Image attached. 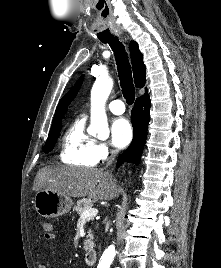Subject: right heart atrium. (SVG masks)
<instances>
[{"label": "right heart atrium", "instance_id": "1", "mask_svg": "<svg viewBox=\"0 0 221 268\" xmlns=\"http://www.w3.org/2000/svg\"><path fill=\"white\" fill-rule=\"evenodd\" d=\"M96 153L98 160H104L112 153L108 145L104 142H97L96 144Z\"/></svg>", "mask_w": 221, "mask_h": 268}]
</instances>
